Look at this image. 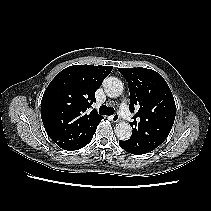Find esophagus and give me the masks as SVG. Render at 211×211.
Instances as JSON below:
<instances>
[{
    "label": "esophagus",
    "mask_w": 211,
    "mask_h": 211,
    "mask_svg": "<svg viewBox=\"0 0 211 211\" xmlns=\"http://www.w3.org/2000/svg\"><path fill=\"white\" fill-rule=\"evenodd\" d=\"M119 119H120V116H119L118 113H115L114 115L111 116V120H112V122H114V123L118 122Z\"/></svg>",
    "instance_id": "34e87169"
}]
</instances>
